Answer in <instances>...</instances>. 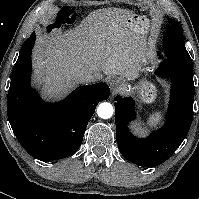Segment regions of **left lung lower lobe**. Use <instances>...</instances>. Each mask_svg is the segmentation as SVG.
<instances>
[{"label":"left lung lower lobe","mask_w":199,"mask_h":199,"mask_svg":"<svg viewBox=\"0 0 199 199\" xmlns=\"http://www.w3.org/2000/svg\"><path fill=\"white\" fill-rule=\"evenodd\" d=\"M156 73L169 76L173 86L165 126L149 137L137 138L129 131L128 125L136 117L133 99L115 97L119 151L125 159L143 167L158 166L170 158L185 139L193 119V68L164 59Z\"/></svg>","instance_id":"obj_1"}]
</instances>
